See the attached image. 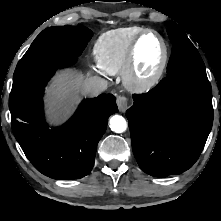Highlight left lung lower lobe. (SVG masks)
Masks as SVG:
<instances>
[{
    "instance_id": "left-lung-lower-lobe-1",
    "label": "left lung lower lobe",
    "mask_w": 221,
    "mask_h": 221,
    "mask_svg": "<svg viewBox=\"0 0 221 221\" xmlns=\"http://www.w3.org/2000/svg\"><path fill=\"white\" fill-rule=\"evenodd\" d=\"M127 110L132 149L140 168L155 177L188 170L201 154L213 123L207 77L173 74Z\"/></svg>"
}]
</instances>
